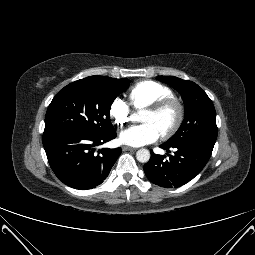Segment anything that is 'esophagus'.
<instances>
[{"label":"esophagus","instance_id":"1","mask_svg":"<svg viewBox=\"0 0 255 255\" xmlns=\"http://www.w3.org/2000/svg\"><path fill=\"white\" fill-rule=\"evenodd\" d=\"M122 149H123L124 151H133V150H136L135 148L129 147V146H123Z\"/></svg>","mask_w":255,"mask_h":255}]
</instances>
